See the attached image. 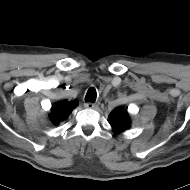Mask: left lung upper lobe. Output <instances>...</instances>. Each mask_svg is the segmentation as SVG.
<instances>
[{
  "label": "left lung upper lobe",
  "mask_w": 190,
  "mask_h": 190,
  "mask_svg": "<svg viewBox=\"0 0 190 190\" xmlns=\"http://www.w3.org/2000/svg\"><path fill=\"white\" fill-rule=\"evenodd\" d=\"M108 119L114 133L116 134L124 132L130 127L129 114L124 108L113 110Z\"/></svg>",
  "instance_id": "1"
}]
</instances>
